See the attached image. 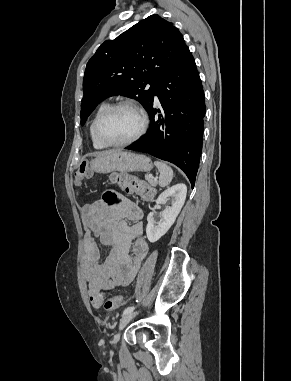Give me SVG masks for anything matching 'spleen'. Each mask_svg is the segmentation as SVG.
Instances as JSON below:
<instances>
[{
    "label": "spleen",
    "instance_id": "1",
    "mask_svg": "<svg viewBox=\"0 0 291 381\" xmlns=\"http://www.w3.org/2000/svg\"><path fill=\"white\" fill-rule=\"evenodd\" d=\"M154 164L158 168V171L160 173L159 185L161 187L168 186L173 179L172 168L168 166L166 163L160 161H155Z\"/></svg>",
    "mask_w": 291,
    "mask_h": 381
}]
</instances>
